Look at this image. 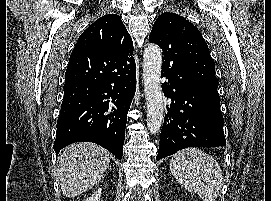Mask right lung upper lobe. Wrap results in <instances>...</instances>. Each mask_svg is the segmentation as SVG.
Here are the masks:
<instances>
[{"label": "right lung upper lobe", "mask_w": 271, "mask_h": 201, "mask_svg": "<svg viewBox=\"0 0 271 201\" xmlns=\"http://www.w3.org/2000/svg\"><path fill=\"white\" fill-rule=\"evenodd\" d=\"M90 48L133 60V42L121 18L108 14L97 19L79 37L74 49Z\"/></svg>", "instance_id": "cb5924a9"}]
</instances>
